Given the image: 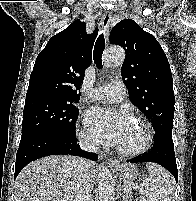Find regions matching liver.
<instances>
[{"instance_id":"6515ba94","label":"liver","mask_w":196,"mask_h":201,"mask_svg":"<svg viewBox=\"0 0 196 201\" xmlns=\"http://www.w3.org/2000/svg\"><path fill=\"white\" fill-rule=\"evenodd\" d=\"M75 157L53 155L28 164L16 178V201H75ZM95 166L88 176L93 189Z\"/></svg>"}]
</instances>
